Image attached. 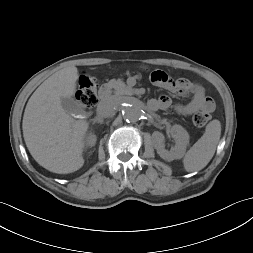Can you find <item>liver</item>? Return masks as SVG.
I'll list each match as a JSON object with an SVG mask.
<instances>
[{
  "label": "liver",
  "instance_id": "1",
  "mask_svg": "<svg viewBox=\"0 0 253 253\" xmlns=\"http://www.w3.org/2000/svg\"><path fill=\"white\" fill-rule=\"evenodd\" d=\"M78 70L65 67L47 78L32 94L23 116V137L34 160L45 169L58 174L79 170L85 136L86 120H75L61 105L62 97L76 91Z\"/></svg>",
  "mask_w": 253,
  "mask_h": 253
}]
</instances>
